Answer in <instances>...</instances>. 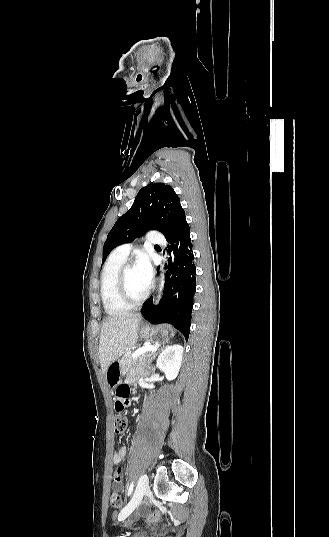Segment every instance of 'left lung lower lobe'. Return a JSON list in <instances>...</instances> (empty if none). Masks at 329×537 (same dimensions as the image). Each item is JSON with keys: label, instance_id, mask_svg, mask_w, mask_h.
I'll return each instance as SVG.
<instances>
[{"label": "left lung lower lobe", "instance_id": "left-lung-lower-lobe-1", "mask_svg": "<svg viewBox=\"0 0 329 537\" xmlns=\"http://www.w3.org/2000/svg\"><path fill=\"white\" fill-rule=\"evenodd\" d=\"M167 272L163 296L158 305L147 300L143 311L152 323H170L189 337L193 297L196 291V267L190 239V227L185 222L168 240Z\"/></svg>", "mask_w": 329, "mask_h": 537}]
</instances>
